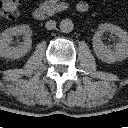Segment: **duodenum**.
<instances>
[{"label":"duodenum","instance_id":"duodenum-1","mask_svg":"<svg viewBox=\"0 0 128 128\" xmlns=\"http://www.w3.org/2000/svg\"><path fill=\"white\" fill-rule=\"evenodd\" d=\"M88 9L89 6L84 1H80L76 4V10L80 13H85ZM33 16L37 20H45L49 17V13L43 6H38L33 10Z\"/></svg>","mask_w":128,"mask_h":128}]
</instances>
